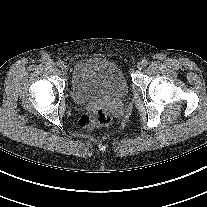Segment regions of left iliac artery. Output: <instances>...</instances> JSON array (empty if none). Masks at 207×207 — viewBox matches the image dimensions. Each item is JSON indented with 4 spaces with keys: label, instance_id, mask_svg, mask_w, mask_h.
<instances>
[{
    "label": "left iliac artery",
    "instance_id": "1",
    "mask_svg": "<svg viewBox=\"0 0 207 207\" xmlns=\"http://www.w3.org/2000/svg\"><path fill=\"white\" fill-rule=\"evenodd\" d=\"M142 63H143L144 66H147L148 65V61L146 59H143L142 60Z\"/></svg>",
    "mask_w": 207,
    "mask_h": 207
}]
</instances>
